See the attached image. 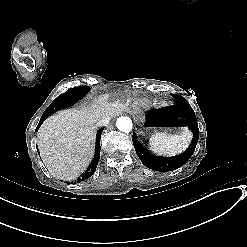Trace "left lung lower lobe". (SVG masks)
Instances as JSON below:
<instances>
[{
	"instance_id": "obj_1",
	"label": "left lung lower lobe",
	"mask_w": 247,
	"mask_h": 247,
	"mask_svg": "<svg viewBox=\"0 0 247 247\" xmlns=\"http://www.w3.org/2000/svg\"><path fill=\"white\" fill-rule=\"evenodd\" d=\"M172 111L176 116L183 115L185 117V123L188 124L190 130L194 135V139L191 147L183 154L174 157H159L149 153L143 146L137 141L135 135L132 136V141L136 150V153L141 162L149 169L155 171H172L183 166L193 155L199 137V129L195 113L188 102L178 103L172 107Z\"/></svg>"
}]
</instances>
